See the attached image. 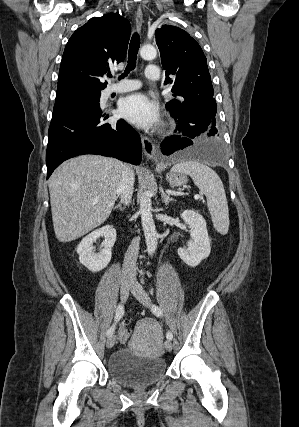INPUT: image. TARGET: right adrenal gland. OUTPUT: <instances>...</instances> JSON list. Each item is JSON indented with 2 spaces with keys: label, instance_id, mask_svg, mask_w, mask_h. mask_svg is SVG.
<instances>
[{
  "label": "right adrenal gland",
  "instance_id": "1",
  "mask_svg": "<svg viewBox=\"0 0 299 427\" xmlns=\"http://www.w3.org/2000/svg\"><path fill=\"white\" fill-rule=\"evenodd\" d=\"M113 209H119L120 211H123L124 207L121 204H117Z\"/></svg>",
  "mask_w": 299,
  "mask_h": 427
}]
</instances>
